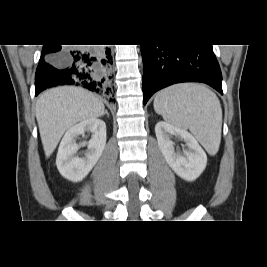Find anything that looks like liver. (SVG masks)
Instances as JSON below:
<instances>
[{
	"mask_svg": "<svg viewBox=\"0 0 267 267\" xmlns=\"http://www.w3.org/2000/svg\"><path fill=\"white\" fill-rule=\"evenodd\" d=\"M104 114V104L81 87H57L42 94L36 104V119L46 157L76 123Z\"/></svg>",
	"mask_w": 267,
	"mask_h": 267,
	"instance_id": "obj_1",
	"label": "liver"
}]
</instances>
